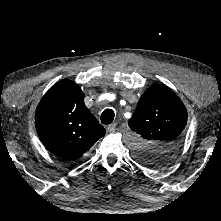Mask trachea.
<instances>
[{
  "mask_svg": "<svg viewBox=\"0 0 221 221\" xmlns=\"http://www.w3.org/2000/svg\"><path fill=\"white\" fill-rule=\"evenodd\" d=\"M115 113L112 109H105L101 114L102 124H111L114 120Z\"/></svg>",
  "mask_w": 221,
  "mask_h": 221,
  "instance_id": "1",
  "label": "trachea"
}]
</instances>
